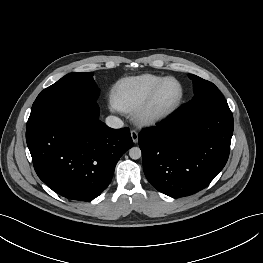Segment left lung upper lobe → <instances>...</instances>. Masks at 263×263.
<instances>
[{
  "label": "left lung upper lobe",
  "instance_id": "5c2ea615",
  "mask_svg": "<svg viewBox=\"0 0 263 263\" xmlns=\"http://www.w3.org/2000/svg\"><path fill=\"white\" fill-rule=\"evenodd\" d=\"M188 76L193 80L194 97L179 109L185 118L210 112L230 111L224 96L213 83L193 74Z\"/></svg>",
  "mask_w": 263,
  "mask_h": 263
}]
</instances>
